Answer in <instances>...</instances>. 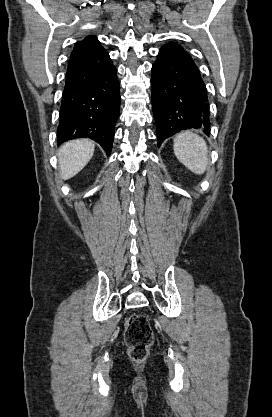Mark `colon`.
Returning <instances> with one entry per match:
<instances>
[{"label":"colon","mask_w":272,"mask_h":417,"mask_svg":"<svg viewBox=\"0 0 272 417\" xmlns=\"http://www.w3.org/2000/svg\"><path fill=\"white\" fill-rule=\"evenodd\" d=\"M124 338L128 347L129 357L143 361L153 342V332L148 319L142 314H132L125 322Z\"/></svg>","instance_id":"1"}]
</instances>
